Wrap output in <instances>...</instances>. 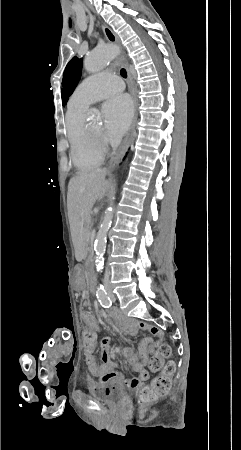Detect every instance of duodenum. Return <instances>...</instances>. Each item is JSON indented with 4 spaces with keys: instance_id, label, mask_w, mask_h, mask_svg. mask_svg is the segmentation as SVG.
<instances>
[{
    "instance_id": "410a0bca",
    "label": "duodenum",
    "mask_w": 241,
    "mask_h": 450,
    "mask_svg": "<svg viewBox=\"0 0 241 450\" xmlns=\"http://www.w3.org/2000/svg\"><path fill=\"white\" fill-rule=\"evenodd\" d=\"M88 270H89V288L92 292H95L97 289V278L95 275L94 266L90 264Z\"/></svg>"
}]
</instances>
